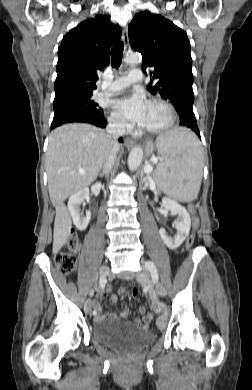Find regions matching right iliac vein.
I'll return each mask as SVG.
<instances>
[{
	"mask_svg": "<svg viewBox=\"0 0 252 390\" xmlns=\"http://www.w3.org/2000/svg\"><path fill=\"white\" fill-rule=\"evenodd\" d=\"M100 277L101 276H107L109 274V267L107 265H104L101 267L100 269ZM84 310L87 314H91L92 313V304H91V301H86L85 303V306H84Z\"/></svg>",
	"mask_w": 252,
	"mask_h": 390,
	"instance_id": "1",
	"label": "right iliac vein"
}]
</instances>
